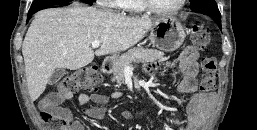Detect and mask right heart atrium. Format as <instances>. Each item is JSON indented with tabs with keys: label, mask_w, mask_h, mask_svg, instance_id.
<instances>
[{
	"label": "right heart atrium",
	"mask_w": 257,
	"mask_h": 130,
	"mask_svg": "<svg viewBox=\"0 0 257 130\" xmlns=\"http://www.w3.org/2000/svg\"><path fill=\"white\" fill-rule=\"evenodd\" d=\"M101 6L109 8H117V0H99L98 2Z\"/></svg>",
	"instance_id": "right-heart-atrium-1"
}]
</instances>
